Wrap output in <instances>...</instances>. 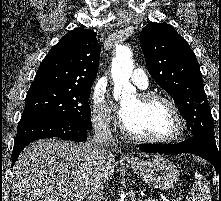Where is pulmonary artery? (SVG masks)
Segmentation results:
<instances>
[{
    "label": "pulmonary artery",
    "mask_w": 221,
    "mask_h": 201,
    "mask_svg": "<svg viewBox=\"0 0 221 201\" xmlns=\"http://www.w3.org/2000/svg\"><path fill=\"white\" fill-rule=\"evenodd\" d=\"M132 82L141 89L148 87V76L142 69H135L132 76Z\"/></svg>",
    "instance_id": "e3ab8cb5"
}]
</instances>
